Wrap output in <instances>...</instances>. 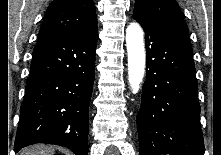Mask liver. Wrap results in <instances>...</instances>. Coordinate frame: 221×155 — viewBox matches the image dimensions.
Returning a JSON list of instances; mask_svg holds the SVG:
<instances>
[{
  "instance_id": "6515ba94",
  "label": "liver",
  "mask_w": 221,
  "mask_h": 155,
  "mask_svg": "<svg viewBox=\"0 0 221 155\" xmlns=\"http://www.w3.org/2000/svg\"><path fill=\"white\" fill-rule=\"evenodd\" d=\"M55 148L52 146L37 144L24 148L20 155H54Z\"/></svg>"
}]
</instances>
